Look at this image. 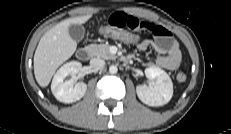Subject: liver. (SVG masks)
<instances>
[{
	"label": "liver",
	"instance_id": "obj_1",
	"mask_svg": "<svg viewBox=\"0 0 231 134\" xmlns=\"http://www.w3.org/2000/svg\"><path fill=\"white\" fill-rule=\"evenodd\" d=\"M92 17L87 14L59 22L40 39L34 54V74L41 87L49 85L57 68L75 52L77 44L68 32L72 24H84Z\"/></svg>",
	"mask_w": 231,
	"mask_h": 134
}]
</instances>
